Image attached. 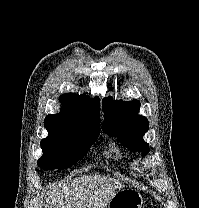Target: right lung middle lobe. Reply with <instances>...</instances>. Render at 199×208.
<instances>
[{
  "label": "right lung middle lobe",
  "mask_w": 199,
  "mask_h": 208,
  "mask_svg": "<svg viewBox=\"0 0 199 208\" xmlns=\"http://www.w3.org/2000/svg\"><path fill=\"white\" fill-rule=\"evenodd\" d=\"M47 131L48 137L41 141L43 155L37 162L42 169H65L76 164L88 152L100 132L79 129Z\"/></svg>",
  "instance_id": "obj_1"
}]
</instances>
